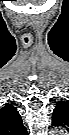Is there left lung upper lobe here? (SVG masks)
<instances>
[{
  "label": "left lung upper lobe",
  "instance_id": "5c2ea615",
  "mask_svg": "<svg viewBox=\"0 0 69 135\" xmlns=\"http://www.w3.org/2000/svg\"><path fill=\"white\" fill-rule=\"evenodd\" d=\"M66 103L65 101H59L58 104L56 105L54 111H53V120L52 122L55 121V119L59 118L61 114L64 113V110L66 109Z\"/></svg>",
  "mask_w": 69,
  "mask_h": 135
}]
</instances>
